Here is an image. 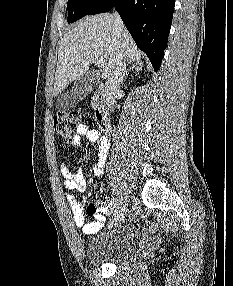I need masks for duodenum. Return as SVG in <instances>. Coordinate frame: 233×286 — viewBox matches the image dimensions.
<instances>
[{"mask_svg":"<svg viewBox=\"0 0 233 286\" xmlns=\"http://www.w3.org/2000/svg\"><path fill=\"white\" fill-rule=\"evenodd\" d=\"M95 116L99 128L104 132L110 131V105L108 93L104 86H99L95 95Z\"/></svg>","mask_w":233,"mask_h":286,"instance_id":"obj_1","label":"duodenum"}]
</instances>
